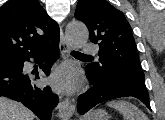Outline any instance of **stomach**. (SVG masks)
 <instances>
[{
    "mask_svg": "<svg viewBox=\"0 0 165 120\" xmlns=\"http://www.w3.org/2000/svg\"><path fill=\"white\" fill-rule=\"evenodd\" d=\"M110 116L103 109H95L88 113L84 120H109Z\"/></svg>",
    "mask_w": 165,
    "mask_h": 120,
    "instance_id": "1",
    "label": "stomach"
}]
</instances>
